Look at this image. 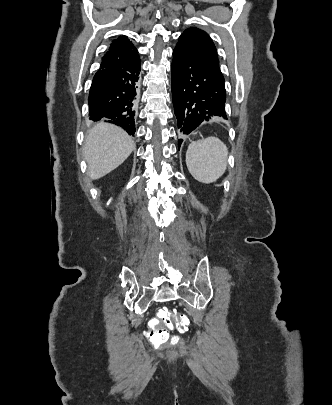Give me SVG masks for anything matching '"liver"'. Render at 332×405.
Segmentation results:
<instances>
[{
    "mask_svg": "<svg viewBox=\"0 0 332 405\" xmlns=\"http://www.w3.org/2000/svg\"><path fill=\"white\" fill-rule=\"evenodd\" d=\"M135 149V143L120 127L100 122L86 138L84 158L89 176L99 179L120 166Z\"/></svg>",
    "mask_w": 332,
    "mask_h": 405,
    "instance_id": "obj_1",
    "label": "liver"
}]
</instances>
